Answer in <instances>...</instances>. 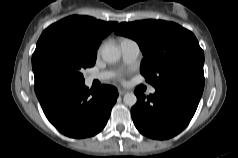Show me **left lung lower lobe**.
I'll return each mask as SVG.
<instances>
[{"mask_svg": "<svg viewBox=\"0 0 238 158\" xmlns=\"http://www.w3.org/2000/svg\"><path fill=\"white\" fill-rule=\"evenodd\" d=\"M205 79L183 78L155 88L146 97L135 91L137 103L131 109L136 128L153 139H168L180 133L192 119L203 93Z\"/></svg>", "mask_w": 238, "mask_h": 158, "instance_id": "0a47b994", "label": "left lung lower lobe"}]
</instances>
